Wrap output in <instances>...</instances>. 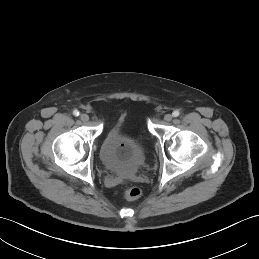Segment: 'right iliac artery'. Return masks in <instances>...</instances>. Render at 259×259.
Instances as JSON below:
<instances>
[{
    "instance_id": "right-iliac-artery-1",
    "label": "right iliac artery",
    "mask_w": 259,
    "mask_h": 259,
    "mask_svg": "<svg viewBox=\"0 0 259 259\" xmlns=\"http://www.w3.org/2000/svg\"><path fill=\"white\" fill-rule=\"evenodd\" d=\"M73 115H74V116H79V111H78V110H74V111H73Z\"/></svg>"
}]
</instances>
